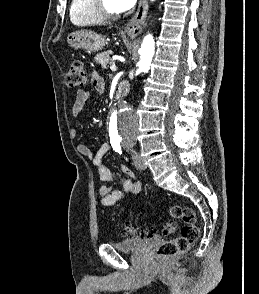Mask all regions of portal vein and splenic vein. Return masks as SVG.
I'll use <instances>...</instances> for the list:
<instances>
[{"mask_svg":"<svg viewBox=\"0 0 259 294\" xmlns=\"http://www.w3.org/2000/svg\"><path fill=\"white\" fill-rule=\"evenodd\" d=\"M110 69H111L112 71H116V70H117V67H116L115 64H111Z\"/></svg>","mask_w":259,"mask_h":294,"instance_id":"1","label":"portal vein and splenic vein"}]
</instances>
